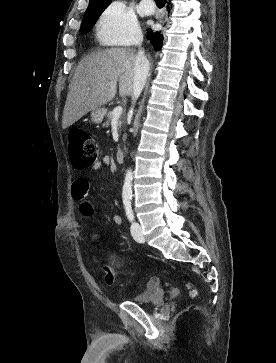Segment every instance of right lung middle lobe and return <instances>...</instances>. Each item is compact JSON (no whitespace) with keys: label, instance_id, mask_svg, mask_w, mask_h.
Wrapping results in <instances>:
<instances>
[{"label":"right lung middle lobe","instance_id":"1","mask_svg":"<svg viewBox=\"0 0 276 363\" xmlns=\"http://www.w3.org/2000/svg\"><path fill=\"white\" fill-rule=\"evenodd\" d=\"M107 7V4H91L88 6L83 21L81 24L80 32L83 34L88 33L94 24L96 23L99 16L102 14V12Z\"/></svg>","mask_w":276,"mask_h":363}]
</instances>
